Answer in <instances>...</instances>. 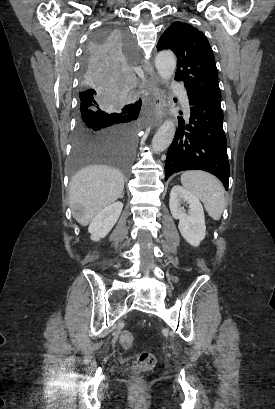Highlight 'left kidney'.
<instances>
[{
  "label": "left kidney",
  "instance_id": "obj_1",
  "mask_svg": "<svg viewBox=\"0 0 275 409\" xmlns=\"http://www.w3.org/2000/svg\"><path fill=\"white\" fill-rule=\"evenodd\" d=\"M182 202L189 205L188 215L181 207ZM169 207L173 219H179L178 229L182 237L193 247H198L206 235L204 211L199 198L176 184L170 192Z\"/></svg>",
  "mask_w": 275,
  "mask_h": 409
}]
</instances>
